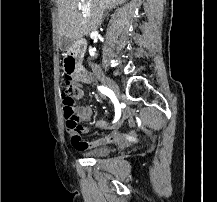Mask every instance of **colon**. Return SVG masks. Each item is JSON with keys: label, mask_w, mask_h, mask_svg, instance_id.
I'll list each match as a JSON object with an SVG mask.
<instances>
[{"label": "colon", "mask_w": 217, "mask_h": 202, "mask_svg": "<svg viewBox=\"0 0 217 202\" xmlns=\"http://www.w3.org/2000/svg\"><path fill=\"white\" fill-rule=\"evenodd\" d=\"M75 92L73 89L64 88L62 94V101L64 107V116L67 129L70 131L82 132V126L78 125L75 115L74 100Z\"/></svg>", "instance_id": "obj_1"}]
</instances>
